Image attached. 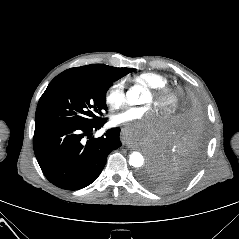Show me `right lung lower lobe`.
Returning <instances> with one entry per match:
<instances>
[{
  "label": "right lung lower lobe",
  "mask_w": 239,
  "mask_h": 239,
  "mask_svg": "<svg viewBox=\"0 0 239 239\" xmlns=\"http://www.w3.org/2000/svg\"><path fill=\"white\" fill-rule=\"evenodd\" d=\"M103 120L90 125L63 123L35 124L33 147L45 177L66 190L90 185L103 170L108 154L121 146L120 128H111L99 138L84 142Z\"/></svg>",
  "instance_id": "obj_1"
}]
</instances>
